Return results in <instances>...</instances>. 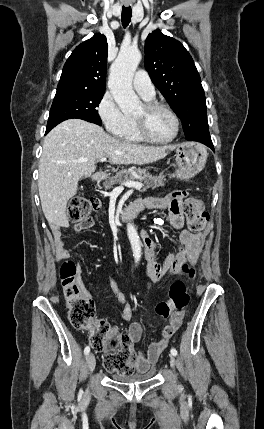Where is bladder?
Here are the masks:
<instances>
[{"label": "bladder", "mask_w": 264, "mask_h": 429, "mask_svg": "<svg viewBox=\"0 0 264 429\" xmlns=\"http://www.w3.org/2000/svg\"><path fill=\"white\" fill-rule=\"evenodd\" d=\"M155 368H151L145 373H135L131 375H114L113 379L120 383H136L149 381L155 376Z\"/></svg>", "instance_id": "1"}]
</instances>
